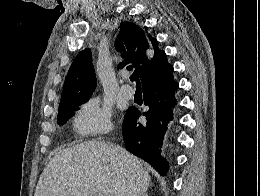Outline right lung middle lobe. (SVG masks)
Segmentation results:
<instances>
[{
	"label": "right lung middle lobe",
	"mask_w": 260,
	"mask_h": 196,
	"mask_svg": "<svg viewBox=\"0 0 260 196\" xmlns=\"http://www.w3.org/2000/svg\"><path fill=\"white\" fill-rule=\"evenodd\" d=\"M89 98L90 96L78 99L67 105L64 109L59 110L57 123L64 124L71 116L74 115L73 112L78 109V106L86 102Z\"/></svg>",
	"instance_id": "obj_1"
}]
</instances>
